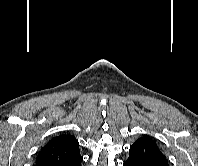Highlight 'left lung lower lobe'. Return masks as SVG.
Segmentation results:
<instances>
[{"mask_svg": "<svg viewBox=\"0 0 198 166\" xmlns=\"http://www.w3.org/2000/svg\"><path fill=\"white\" fill-rule=\"evenodd\" d=\"M123 165H124V166H146V165H144V164H141V163L135 161V160L132 159V158H128V159L124 162Z\"/></svg>", "mask_w": 198, "mask_h": 166, "instance_id": "1", "label": "left lung lower lobe"}]
</instances>
